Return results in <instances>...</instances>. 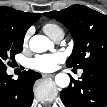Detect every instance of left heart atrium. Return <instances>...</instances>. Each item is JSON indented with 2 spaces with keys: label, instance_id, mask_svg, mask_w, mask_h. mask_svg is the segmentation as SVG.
<instances>
[{
  "label": "left heart atrium",
  "instance_id": "left-heart-atrium-1",
  "mask_svg": "<svg viewBox=\"0 0 107 107\" xmlns=\"http://www.w3.org/2000/svg\"><path fill=\"white\" fill-rule=\"evenodd\" d=\"M65 60V55L61 52L49 53L36 56L31 65L34 69L40 72H53L58 65Z\"/></svg>",
  "mask_w": 107,
  "mask_h": 107
}]
</instances>
